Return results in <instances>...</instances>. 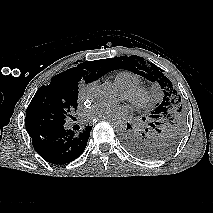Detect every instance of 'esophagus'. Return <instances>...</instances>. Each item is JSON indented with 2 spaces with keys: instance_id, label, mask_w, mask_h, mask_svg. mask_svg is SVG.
<instances>
[{
  "instance_id": "obj_1",
  "label": "esophagus",
  "mask_w": 213,
  "mask_h": 213,
  "mask_svg": "<svg viewBox=\"0 0 213 213\" xmlns=\"http://www.w3.org/2000/svg\"><path fill=\"white\" fill-rule=\"evenodd\" d=\"M101 120H109V121H112V120H114V119H113V117H108V118H105V119H99V121H101Z\"/></svg>"
}]
</instances>
